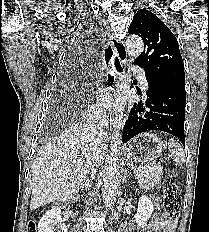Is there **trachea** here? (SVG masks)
<instances>
[{"mask_svg":"<svg viewBox=\"0 0 209 232\" xmlns=\"http://www.w3.org/2000/svg\"><path fill=\"white\" fill-rule=\"evenodd\" d=\"M112 56H113V51H112L111 46L109 45L108 48L105 49V61H106V63H108L110 61ZM114 67L118 72H123V69L120 65L118 57L114 58Z\"/></svg>","mask_w":209,"mask_h":232,"instance_id":"obj_1","label":"trachea"}]
</instances>
